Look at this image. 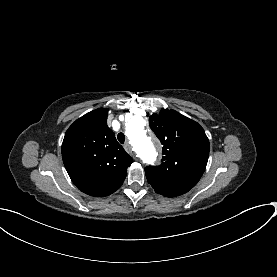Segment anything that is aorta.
Instances as JSON below:
<instances>
[{"mask_svg":"<svg viewBox=\"0 0 277 277\" xmlns=\"http://www.w3.org/2000/svg\"><path fill=\"white\" fill-rule=\"evenodd\" d=\"M126 134L134 150L145 163L155 162L156 147L145 130V121L142 117L135 116L127 122Z\"/></svg>","mask_w":277,"mask_h":277,"instance_id":"762f6f07","label":"aorta"}]
</instances>
